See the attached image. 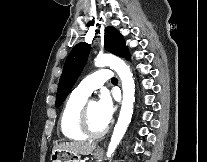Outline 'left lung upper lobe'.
<instances>
[{"mask_svg":"<svg viewBox=\"0 0 207 162\" xmlns=\"http://www.w3.org/2000/svg\"><path fill=\"white\" fill-rule=\"evenodd\" d=\"M104 43L105 49L109 52L130 60L124 38L114 27L109 26L105 28ZM89 50L90 47L87 43H78L68 55L58 85L55 104L57 107L65 100L76 82L87 61Z\"/></svg>","mask_w":207,"mask_h":162,"instance_id":"1","label":"left lung upper lobe"}]
</instances>
